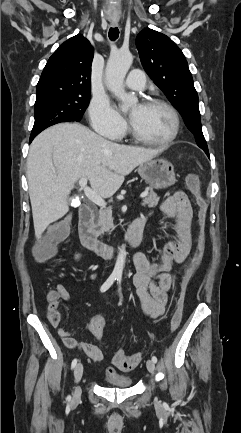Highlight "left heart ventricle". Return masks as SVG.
<instances>
[{
	"label": "left heart ventricle",
	"instance_id": "b2bd125f",
	"mask_svg": "<svg viewBox=\"0 0 241 433\" xmlns=\"http://www.w3.org/2000/svg\"><path fill=\"white\" fill-rule=\"evenodd\" d=\"M130 114L136 131L150 140H164L174 129L172 114L165 107L135 105Z\"/></svg>",
	"mask_w": 241,
	"mask_h": 433
}]
</instances>
